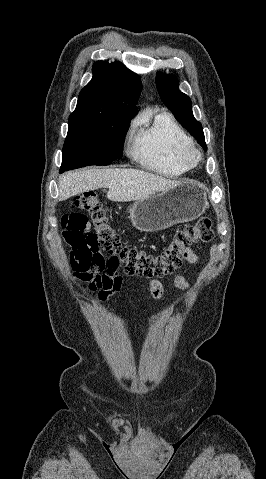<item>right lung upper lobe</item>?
<instances>
[{"label": "right lung upper lobe", "mask_w": 266, "mask_h": 479, "mask_svg": "<svg viewBox=\"0 0 266 479\" xmlns=\"http://www.w3.org/2000/svg\"><path fill=\"white\" fill-rule=\"evenodd\" d=\"M93 78L81 90L75 111L69 118L101 117L132 119L141 93L139 76L120 62L99 61L93 65Z\"/></svg>", "instance_id": "1"}]
</instances>
